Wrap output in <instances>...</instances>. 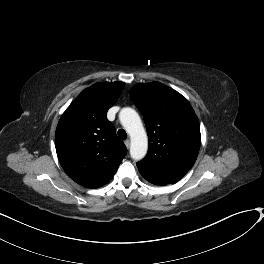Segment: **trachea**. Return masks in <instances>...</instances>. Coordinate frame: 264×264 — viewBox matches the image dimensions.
Segmentation results:
<instances>
[{
    "label": "trachea",
    "instance_id": "trachea-1",
    "mask_svg": "<svg viewBox=\"0 0 264 264\" xmlns=\"http://www.w3.org/2000/svg\"><path fill=\"white\" fill-rule=\"evenodd\" d=\"M117 133H118L119 139L125 140L127 138V133L125 132L124 129H119Z\"/></svg>",
    "mask_w": 264,
    "mask_h": 264
}]
</instances>
